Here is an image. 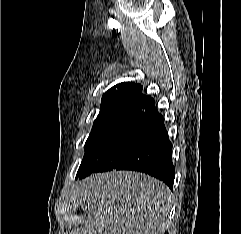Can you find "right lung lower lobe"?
<instances>
[{"label": "right lung lower lobe", "mask_w": 241, "mask_h": 234, "mask_svg": "<svg viewBox=\"0 0 241 234\" xmlns=\"http://www.w3.org/2000/svg\"><path fill=\"white\" fill-rule=\"evenodd\" d=\"M122 169L152 175L173 189L172 144L152 98L141 103L104 139L76 178Z\"/></svg>", "instance_id": "obj_1"}]
</instances>
